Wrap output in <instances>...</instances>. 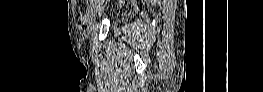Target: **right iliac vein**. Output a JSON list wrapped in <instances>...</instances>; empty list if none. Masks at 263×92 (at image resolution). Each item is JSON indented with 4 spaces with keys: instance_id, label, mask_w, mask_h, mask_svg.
Returning <instances> with one entry per match:
<instances>
[{
    "instance_id": "1",
    "label": "right iliac vein",
    "mask_w": 263,
    "mask_h": 92,
    "mask_svg": "<svg viewBox=\"0 0 263 92\" xmlns=\"http://www.w3.org/2000/svg\"><path fill=\"white\" fill-rule=\"evenodd\" d=\"M100 10L99 6V0H96L93 2V4L90 6L88 13H87V21H88V32H92L94 28V24L92 22L93 18L97 14V12Z\"/></svg>"
}]
</instances>
